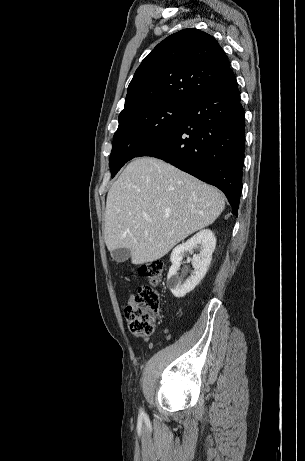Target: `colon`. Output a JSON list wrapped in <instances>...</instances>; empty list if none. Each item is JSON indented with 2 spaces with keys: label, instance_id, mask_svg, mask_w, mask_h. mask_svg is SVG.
<instances>
[{
  "label": "colon",
  "instance_id": "5ec220e1",
  "mask_svg": "<svg viewBox=\"0 0 305 461\" xmlns=\"http://www.w3.org/2000/svg\"><path fill=\"white\" fill-rule=\"evenodd\" d=\"M165 269L166 265L161 260L151 261L139 268L140 275L147 278L150 285L141 286L125 308V316L131 332L152 334L160 321V293L155 286L161 283Z\"/></svg>",
  "mask_w": 305,
  "mask_h": 461
}]
</instances>
